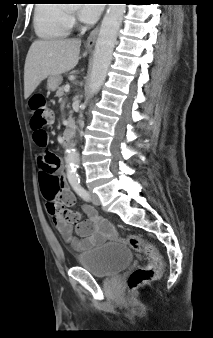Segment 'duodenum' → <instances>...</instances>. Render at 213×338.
Segmentation results:
<instances>
[{
	"label": "duodenum",
	"instance_id": "duodenum-1",
	"mask_svg": "<svg viewBox=\"0 0 213 338\" xmlns=\"http://www.w3.org/2000/svg\"><path fill=\"white\" fill-rule=\"evenodd\" d=\"M74 128L75 127H74V124L72 122H69L67 124V126L65 128V132H64V137H63L64 143L70 144Z\"/></svg>",
	"mask_w": 213,
	"mask_h": 338
}]
</instances>
